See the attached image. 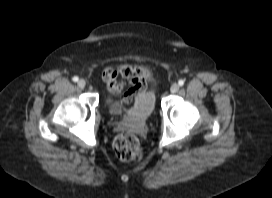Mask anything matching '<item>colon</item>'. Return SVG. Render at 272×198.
Masks as SVG:
<instances>
[{
  "label": "colon",
  "instance_id": "1",
  "mask_svg": "<svg viewBox=\"0 0 272 198\" xmlns=\"http://www.w3.org/2000/svg\"><path fill=\"white\" fill-rule=\"evenodd\" d=\"M111 69L104 72V78L111 75ZM117 156L123 161H139L142 158V149L136 136L131 133L119 134L113 142Z\"/></svg>",
  "mask_w": 272,
  "mask_h": 198
}]
</instances>
